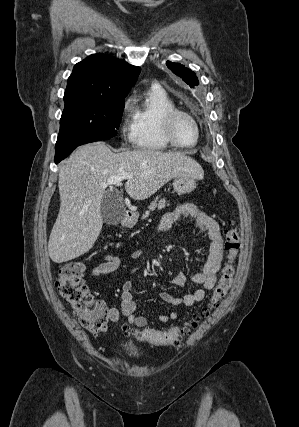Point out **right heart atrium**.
Returning a JSON list of instances; mask_svg holds the SVG:
<instances>
[{
    "label": "right heart atrium",
    "instance_id": "right-heart-atrium-1",
    "mask_svg": "<svg viewBox=\"0 0 299 427\" xmlns=\"http://www.w3.org/2000/svg\"><path fill=\"white\" fill-rule=\"evenodd\" d=\"M120 130L122 138L126 141H133V105L129 96L124 99L120 110Z\"/></svg>",
    "mask_w": 299,
    "mask_h": 427
}]
</instances>
